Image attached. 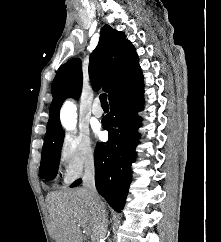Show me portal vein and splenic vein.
<instances>
[{"instance_id":"18ae733b","label":"portal vein and splenic vein","mask_w":221,"mask_h":242,"mask_svg":"<svg viewBox=\"0 0 221 242\" xmlns=\"http://www.w3.org/2000/svg\"><path fill=\"white\" fill-rule=\"evenodd\" d=\"M86 234H89V231L88 230H85Z\"/></svg>"}]
</instances>
